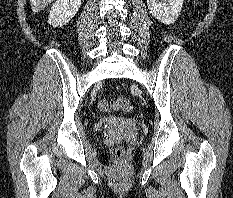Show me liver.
Listing matches in <instances>:
<instances>
[{
	"label": "liver",
	"mask_w": 233,
	"mask_h": 198,
	"mask_svg": "<svg viewBox=\"0 0 233 198\" xmlns=\"http://www.w3.org/2000/svg\"><path fill=\"white\" fill-rule=\"evenodd\" d=\"M54 0H30L31 9L34 13L43 10Z\"/></svg>",
	"instance_id": "1"
}]
</instances>
